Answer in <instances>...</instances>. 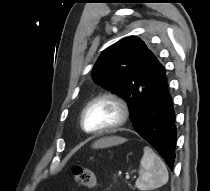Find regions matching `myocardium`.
Returning a JSON list of instances; mask_svg holds the SVG:
<instances>
[{
    "label": "myocardium",
    "instance_id": "f54148a6",
    "mask_svg": "<svg viewBox=\"0 0 210 191\" xmlns=\"http://www.w3.org/2000/svg\"><path fill=\"white\" fill-rule=\"evenodd\" d=\"M99 101H110L113 104H115L119 110V114H120L119 119L117 120V122H115L114 124H112L108 127L101 128L98 130H87L84 125L85 113H86L87 109L92 104L99 102ZM129 117H130L129 106H128L127 102L122 97H120L119 95H117L115 93H104V94L94 97L84 106V108L82 109L81 114H80V126H81L82 130L88 134L100 135V134L114 132V131L120 129L128 122Z\"/></svg>",
    "mask_w": 210,
    "mask_h": 191
}]
</instances>
